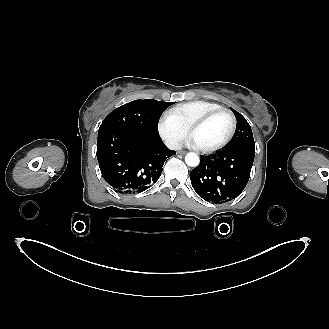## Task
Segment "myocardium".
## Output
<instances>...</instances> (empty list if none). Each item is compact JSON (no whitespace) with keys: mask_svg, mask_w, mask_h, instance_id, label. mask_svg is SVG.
Returning a JSON list of instances; mask_svg holds the SVG:
<instances>
[{"mask_svg":"<svg viewBox=\"0 0 329 329\" xmlns=\"http://www.w3.org/2000/svg\"><path fill=\"white\" fill-rule=\"evenodd\" d=\"M223 113L228 115L231 120V128H230L228 135L226 136V138L223 141H221L220 143H218L216 145H213L210 147H198L199 151H201L203 153H211V152H214V151H217V150L223 148L232 140V138L235 134V131H236L237 120H236L235 115L233 114V112L230 109L223 108V107L216 109L214 111H211V112L207 113L206 115L202 116L201 118L197 119L196 121H194L188 128L189 135L191 136L195 129L204 125L206 122H208L213 117H215L219 114H223Z\"/></svg>","mask_w":329,"mask_h":329,"instance_id":"f54148a6","label":"myocardium"}]
</instances>
